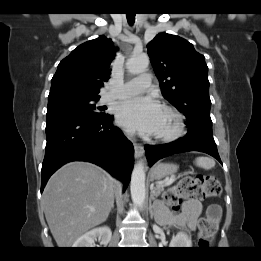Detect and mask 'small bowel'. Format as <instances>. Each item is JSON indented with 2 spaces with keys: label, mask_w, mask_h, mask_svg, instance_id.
I'll list each match as a JSON object with an SVG mask.
<instances>
[{
  "label": "small bowel",
  "mask_w": 261,
  "mask_h": 261,
  "mask_svg": "<svg viewBox=\"0 0 261 261\" xmlns=\"http://www.w3.org/2000/svg\"><path fill=\"white\" fill-rule=\"evenodd\" d=\"M209 212L215 216L216 219L221 215V210L218 205L209 206ZM200 213L201 204L195 200H188L184 202L180 213L171 215L170 224L174 227L186 226L190 230H195Z\"/></svg>",
  "instance_id": "1"
}]
</instances>
